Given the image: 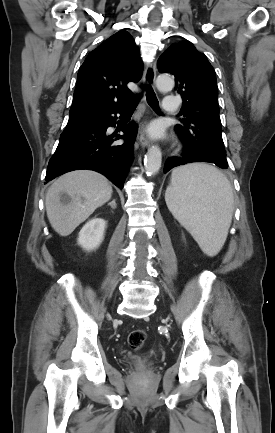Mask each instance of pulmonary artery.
I'll use <instances>...</instances> for the list:
<instances>
[{"label": "pulmonary artery", "mask_w": 275, "mask_h": 433, "mask_svg": "<svg viewBox=\"0 0 275 433\" xmlns=\"http://www.w3.org/2000/svg\"><path fill=\"white\" fill-rule=\"evenodd\" d=\"M179 103L177 97L173 95H167L163 99L162 110L165 113H175L178 111Z\"/></svg>", "instance_id": "obj_1"}]
</instances>
